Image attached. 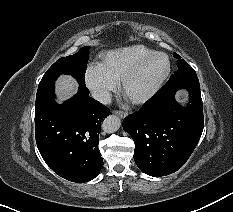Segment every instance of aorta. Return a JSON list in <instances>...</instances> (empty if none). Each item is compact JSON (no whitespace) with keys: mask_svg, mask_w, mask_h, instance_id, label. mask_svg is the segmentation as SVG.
<instances>
[{"mask_svg":"<svg viewBox=\"0 0 233 212\" xmlns=\"http://www.w3.org/2000/svg\"><path fill=\"white\" fill-rule=\"evenodd\" d=\"M121 126V119L118 116L110 115L108 116L102 124V129L106 133H114Z\"/></svg>","mask_w":233,"mask_h":212,"instance_id":"aorta-1","label":"aorta"}]
</instances>
